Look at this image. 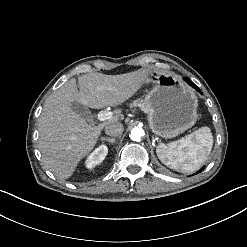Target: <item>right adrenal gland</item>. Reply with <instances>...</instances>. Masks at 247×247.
<instances>
[{
  "mask_svg": "<svg viewBox=\"0 0 247 247\" xmlns=\"http://www.w3.org/2000/svg\"><path fill=\"white\" fill-rule=\"evenodd\" d=\"M101 140H106V141H108V142H110V143H114L115 142V139L114 138H105V137H101L100 138Z\"/></svg>",
  "mask_w": 247,
  "mask_h": 247,
  "instance_id": "right-adrenal-gland-1",
  "label": "right adrenal gland"
}]
</instances>
